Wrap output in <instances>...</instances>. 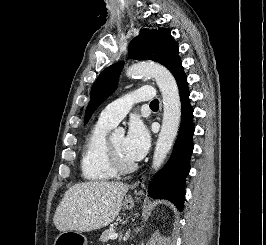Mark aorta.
<instances>
[{
  "instance_id": "obj_1",
  "label": "aorta",
  "mask_w": 266,
  "mask_h": 245,
  "mask_svg": "<svg viewBox=\"0 0 266 245\" xmlns=\"http://www.w3.org/2000/svg\"><path fill=\"white\" fill-rule=\"evenodd\" d=\"M128 76H153L157 86L162 94L163 100V118L162 127L157 139L152 169L158 171L163 165L178 133L181 118V100L178 84L170 70L163 64H132L127 70ZM116 135H124V129H115Z\"/></svg>"
}]
</instances>
